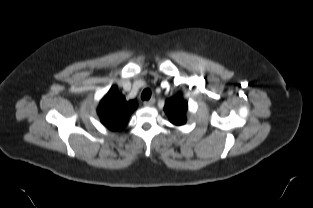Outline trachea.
<instances>
[{
	"label": "trachea",
	"mask_w": 313,
	"mask_h": 208,
	"mask_svg": "<svg viewBox=\"0 0 313 208\" xmlns=\"http://www.w3.org/2000/svg\"><path fill=\"white\" fill-rule=\"evenodd\" d=\"M151 97V91L150 89H144L142 94H141V99L142 100H149Z\"/></svg>",
	"instance_id": "3493384b"
}]
</instances>
